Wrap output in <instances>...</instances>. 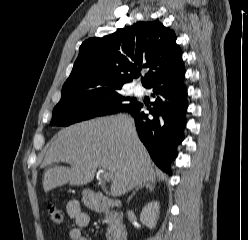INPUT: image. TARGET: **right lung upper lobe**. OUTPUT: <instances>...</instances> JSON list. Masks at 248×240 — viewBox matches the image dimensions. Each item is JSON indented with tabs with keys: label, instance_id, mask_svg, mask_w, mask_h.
<instances>
[{
	"label": "right lung upper lobe",
	"instance_id": "cb5924a9",
	"mask_svg": "<svg viewBox=\"0 0 248 240\" xmlns=\"http://www.w3.org/2000/svg\"><path fill=\"white\" fill-rule=\"evenodd\" d=\"M148 87L184 68L176 34L159 21L137 22L103 38H89L79 48L63 89H121L138 77ZM129 72V73H128Z\"/></svg>",
	"mask_w": 248,
	"mask_h": 240
}]
</instances>
